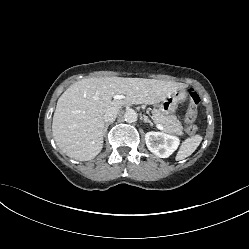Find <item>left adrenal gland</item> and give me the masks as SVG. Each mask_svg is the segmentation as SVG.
Listing matches in <instances>:
<instances>
[{"mask_svg":"<svg viewBox=\"0 0 249 249\" xmlns=\"http://www.w3.org/2000/svg\"><path fill=\"white\" fill-rule=\"evenodd\" d=\"M144 122L149 123L151 126H153V123L148 119L147 116H144Z\"/></svg>","mask_w":249,"mask_h":249,"instance_id":"1","label":"left adrenal gland"}]
</instances>
